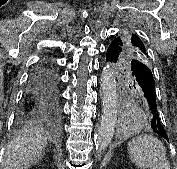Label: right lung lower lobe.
<instances>
[{"label":"right lung lower lobe","instance_id":"obj_1","mask_svg":"<svg viewBox=\"0 0 177 169\" xmlns=\"http://www.w3.org/2000/svg\"><path fill=\"white\" fill-rule=\"evenodd\" d=\"M59 79L47 64L35 68L29 78L19 111L22 121H55L60 117Z\"/></svg>","mask_w":177,"mask_h":169}]
</instances>
